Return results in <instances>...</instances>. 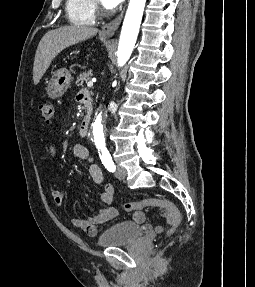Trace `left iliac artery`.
<instances>
[{"instance_id": "1", "label": "left iliac artery", "mask_w": 255, "mask_h": 287, "mask_svg": "<svg viewBox=\"0 0 255 287\" xmlns=\"http://www.w3.org/2000/svg\"><path fill=\"white\" fill-rule=\"evenodd\" d=\"M99 156L100 159L104 165V167L109 171V172H115L116 166L112 160V157L109 153V151L104 147L99 149Z\"/></svg>"}]
</instances>
